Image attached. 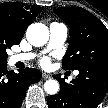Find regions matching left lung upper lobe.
<instances>
[{"label":"left lung upper lobe","instance_id":"left-lung-upper-lobe-1","mask_svg":"<svg viewBox=\"0 0 108 108\" xmlns=\"http://www.w3.org/2000/svg\"><path fill=\"white\" fill-rule=\"evenodd\" d=\"M54 12L70 27V43L63 57L65 70L98 69L108 66V29L93 14L80 7Z\"/></svg>","mask_w":108,"mask_h":108}]
</instances>
